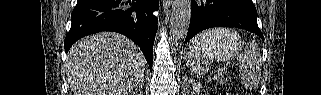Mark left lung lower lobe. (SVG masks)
Instances as JSON below:
<instances>
[{"instance_id": "obj_1", "label": "left lung lower lobe", "mask_w": 321, "mask_h": 95, "mask_svg": "<svg viewBox=\"0 0 321 95\" xmlns=\"http://www.w3.org/2000/svg\"><path fill=\"white\" fill-rule=\"evenodd\" d=\"M211 27L245 29L264 41L252 0H192L191 21L185 43L198 32Z\"/></svg>"}]
</instances>
